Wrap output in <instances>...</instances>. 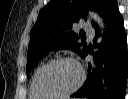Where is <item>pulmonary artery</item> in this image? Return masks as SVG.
Instances as JSON below:
<instances>
[{
	"mask_svg": "<svg viewBox=\"0 0 128 99\" xmlns=\"http://www.w3.org/2000/svg\"><path fill=\"white\" fill-rule=\"evenodd\" d=\"M85 31L87 32V34H89L90 36H93L95 33V30L93 27L89 26V25H85Z\"/></svg>",
	"mask_w": 128,
	"mask_h": 99,
	"instance_id": "1",
	"label": "pulmonary artery"
}]
</instances>
